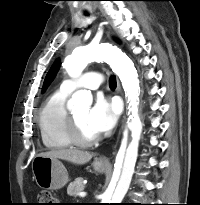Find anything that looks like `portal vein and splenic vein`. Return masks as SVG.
I'll return each instance as SVG.
<instances>
[{
    "label": "portal vein and splenic vein",
    "mask_w": 200,
    "mask_h": 205,
    "mask_svg": "<svg viewBox=\"0 0 200 205\" xmlns=\"http://www.w3.org/2000/svg\"><path fill=\"white\" fill-rule=\"evenodd\" d=\"M77 195L79 197H85L87 195V193L86 192H79Z\"/></svg>",
    "instance_id": "1"
}]
</instances>
